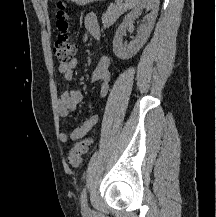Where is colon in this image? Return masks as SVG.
Listing matches in <instances>:
<instances>
[{"label":"colon","mask_w":216,"mask_h":217,"mask_svg":"<svg viewBox=\"0 0 216 217\" xmlns=\"http://www.w3.org/2000/svg\"><path fill=\"white\" fill-rule=\"evenodd\" d=\"M56 26L59 34L53 46V53L60 64H67L73 59L76 47L71 33L70 17L65 2L58 3ZM91 143L92 138L76 142L66 157L68 165L77 168L81 164L82 157L88 151Z\"/></svg>","instance_id":"1"}]
</instances>
